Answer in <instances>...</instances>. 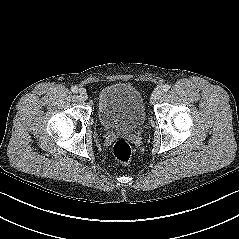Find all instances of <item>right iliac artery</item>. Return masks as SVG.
I'll list each match as a JSON object with an SVG mask.
<instances>
[{
    "label": "right iliac artery",
    "mask_w": 239,
    "mask_h": 239,
    "mask_svg": "<svg viewBox=\"0 0 239 239\" xmlns=\"http://www.w3.org/2000/svg\"><path fill=\"white\" fill-rule=\"evenodd\" d=\"M71 91H72L73 93H77V92H78V87H77V86H72V87H71Z\"/></svg>",
    "instance_id": "82829eb1"
}]
</instances>
